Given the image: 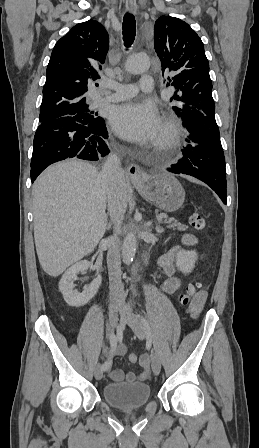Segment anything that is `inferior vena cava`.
<instances>
[{
    "instance_id": "inferior-vena-cava-1",
    "label": "inferior vena cava",
    "mask_w": 259,
    "mask_h": 448,
    "mask_svg": "<svg viewBox=\"0 0 259 448\" xmlns=\"http://www.w3.org/2000/svg\"><path fill=\"white\" fill-rule=\"evenodd\" d=\"M100 182L107 192L108 212L115 224V234L107 240L110 300L111 302H125L126 296L121 282V246L118 234L127 208V184L117 154L108 156L104 168L100 172Z\"/></svg>"
}]
</instances>
